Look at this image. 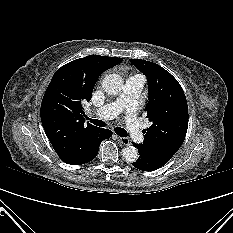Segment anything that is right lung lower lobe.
<instances>
[{
  "instance_id": "obj_1",
  "label": "right lung lower lobe",
  "mask_w": 233,
  "mask_h": 233,
  "mask_svg": "<svg viewBox=\"0 0 233 233\" xmlns=\"http://www.w3.org/2000/svg\"><path fill=\"white\" fill-rule=\"evenodd\" d=\"M112 131L108 129L98 128L93 136L82 146L81 152L77 154L74 158L64 161L67 164L79 165L85 164L93 160L99 150L100 143L104 139L110 138Z\"/></svg>"
}]
</instances>
